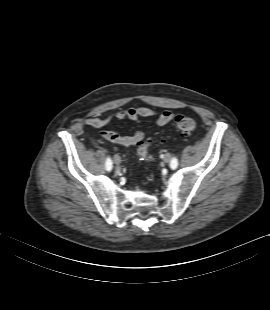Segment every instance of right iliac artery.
<instances>
[{
  "label": "right iliac artery",
  "instance_id": "right-iliac-artery-1",
  "mask_svg": "<svg viewBox=\"0 0 270 310\" xmlns=\"http://www.w3.org/2000/svg\"><path fill=\"white\" fill-rule=\"evenodd\" d=\"M105 167L107 171H111L112 170V160L110 157L106 158V163H105Z\"/></svg>",
  "mask_w": 270,
  "mask_h": 310
}]
</instances>
